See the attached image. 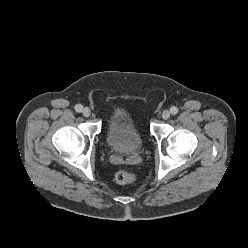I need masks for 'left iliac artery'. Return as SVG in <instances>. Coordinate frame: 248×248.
<instances>
[{"label": "left iliac artery", "instance_id": "obj_1", "mask_svg": "<svg viewBox=\"0 0 248 248\" xmlns=\"http://www.w3.org/2000/svg\"><path fill=\"white\" fill-rule=\"evenodd\" d=\"M170 112H171L172 115H175V114L178 113V108L173 106V107L170 108Z\"/></svg>", "mask_w": 248, "mask_h": 248}]
</instances>
